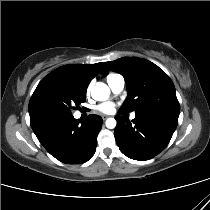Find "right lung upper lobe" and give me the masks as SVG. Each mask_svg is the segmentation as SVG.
Listing matches in <instances>:
<instances>
[{
	"mask_svg": "<svg viewBox=\"0 0 210 210\" xmlns=\"http://www.w3.org/2000/svg\"><path fill=\"white\" fill-rule=\"evenodd\" d=\"M102 65L103 63H96L92 65L69 64L55 69L44 77L38 84L29 102V112L32 110L33 99L44 87L55 83H66L76 85L86 90L90 81L100 71Z\"/></svg>",
	"mask_w": 210,
	"mask_h": 210,
	"instance_id": "cb5924a9",
	"label": "right lung upper lobe"
}]
</instances>
